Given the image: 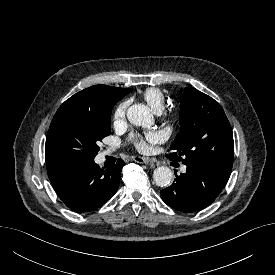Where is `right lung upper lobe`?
<instances>
[{"instance_id": "obj_1", "label": "right lung upper lobe", "mask_w": 275, "mask_h": 275, "mask_svg": "<svg viewBox=\"0 0 275 275\" xmlns=\"http://www.w3.org/2000/svg\"><path fill=\"white\" fill-rule=\"evenodd\" d=\"M130 91L129 88L107 85L91 86L66 100L57 110L52 122L67 116L105 113Z\"/></svg>"}]
</instances>
